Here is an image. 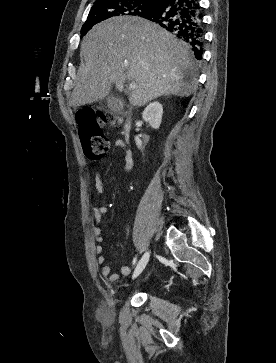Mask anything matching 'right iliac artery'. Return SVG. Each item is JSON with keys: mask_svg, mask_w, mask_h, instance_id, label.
<instances>
[{"mask_svg": "<svg viewBox=\"0 0 276 363\" xmlns=\"http://www.w3.org/2000/svg\"><path fill=\"white\" fill-rule=\"evenodd\" d=\"M134 262H135V259H134ZM143 269H144V265L142 264L140 267H139V269H138V271H137V274L135 275V277H137L142 271H143Z\"/></svg>", "mask_w": 276, "mask_h": 363, "instance_id": "right-iliac-artery-1", "label": "right iliac artery"}]
</instances>
